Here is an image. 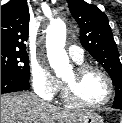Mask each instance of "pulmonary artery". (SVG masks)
Listing matches in <instances>:
<instances>
[{"mask_svg": "<svg viewBox=\"0 0 122 123\" xmlns=\"http://www.w3.org/2000/svg\"><path fill=\"white\" fill-rule=\"evenodd\" d=\"M68 53L75 62L82 61L84 58L83 49L77 45H69Z\"/></svg>", "mask_w": 122, "mask_h": 123, "instance_id": "obj_1", "label": "pulmonary artery"}]
</instances>
